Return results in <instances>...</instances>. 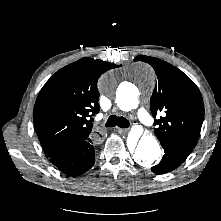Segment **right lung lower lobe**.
Listing matches in <instances>:
<instances>
[{"instance_id":"98d812e1","label":"right lung lower lobe","mask_w":221,"mask_h":221,"mask_svg":"<svg viewBox=\"0 0 221 221\" xmlns=\"http://www.w3.org/2000/svg\"><path fill=\"white\" fill-rule=\"evenodd\" d=\"M50 161L67 175L83 174L94 165V141L89 138L79 142L50 157Z\"/></svg>"}]
</instances>
